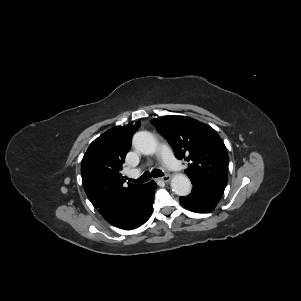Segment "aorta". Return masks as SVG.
<instances>
[{
  "instance_id": "762f6f07",
  "label": "aorta",
  "mask_w": 301,
  "mask_h": 301,
  "mask_svg": "<svg viewBox=\"0 0 301 301\" xmlns=\"http://www.w3.org/2000/svg\"><path fill=\"white\" fill-rule=\"evenodd\" d=\"M134 148L145 155L154 154L157 150L155 137L147 131H139L132 139ZM171 187L175 194L187 196L191 191V182L184 174H176L171 180Z\"/></svg>"
}]
</instances>
